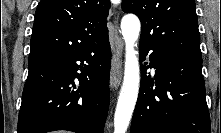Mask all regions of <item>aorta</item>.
I'll return each instance as SVG.
<instances>
[{"label":"aorta","mask_w":221,"mask_h":133,"mask_svg":"<svg viewBox=\"0 0 221 133\" xmlns=\"http://www.w3.org/2000/svg\"><path fill=\"white\" fill-rule=\"evenodd\" d=\"M141 29L137 16L125 15L121 21L122 35L125 41L124 78L114 115V133H126L139 92V60L135 50Z\"/></svg>","instance_id":"1"}]
</instances>
